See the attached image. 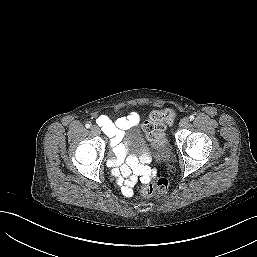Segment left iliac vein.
<instances>
[{"label": "left iliac vein", "instance_id": "1", "mask_svg": "<svg viewBox=\"0 0 257 257\" xmlns=\"http://www.w3.org/2000/svg\"><path fill=\"white\" fill-rule=\"evenodd\" d=\"M188 124H189V119H188L187 117L182 118V119L180 120V122H179V126H180L181 128L187 127Z\"/></svg>", "mask_w": 257, "mask_h": 257}]
</instances>
